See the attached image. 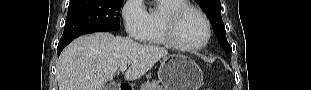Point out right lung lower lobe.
<instances>
[{
  "label": "right lung lower lobe",
  "instance_id": "1",
  "mask_svg": "<svg viewBox=\"0 0 311 90\" xmlns=\"http://www.w3.org/2000/svg\"><path fill=\"white\" fill-rule=\"evenodd\" d=\"M71 41H72V40L67 41V42H63V43H59V44H58V48H57L58 56H59V54L61 53V51L63 50V48H64L66 45H68Z\"/></svg>",
  "mask_w": 311,
  "mask_h": 90
}]
</instances>
